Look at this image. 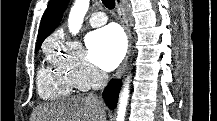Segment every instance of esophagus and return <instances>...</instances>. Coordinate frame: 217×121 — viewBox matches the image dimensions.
Instances as JSON below:
<instances>
[{"instance_id": "1", "label": "esophagus", "mask_w": 217, "mask_h": 121, "mask_svg": "<svg viewBox=\"0 0 217 121\" xmlns=\"http://www.w3.org/2000/svg\"><path fill=\"white\" fill-rule=\"evenodd\" d=\"M116 7H117V13H118L120 22H121V24H122V26H123V28H124V30L126 32L127 42H128V48H127L126 56H125L123 62L121 63V65L116 70L115 75H114L115 78H119V77H121L123 75V73H124V71L126 69V66H127V62H128L130 52H131V39H132V36H131L130 27H129V24H128V21H127L125 12H124L122 0H116Z\"/></svg>"}]
</instances>
